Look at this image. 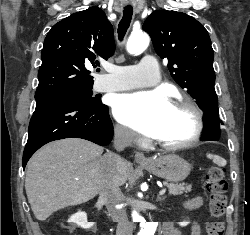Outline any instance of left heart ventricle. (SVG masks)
Segmentation results:
<instances>
[{
    "label": "left heart ventricle",
    "mask_w": 250,
    "mask_h": 235,
    "mask_svg": "<svg viewBox=\"0 0 250 235\" xmlns=\"http://www.w3.org/2000/svg\"><path fill=\"white\" fill-rule=\"evenodd\" d=\"M194 125V118L187 109L170 106L153 138L168 143L184 141L191 136Z\"/></svg>",
    "instance_id": "obj_1"
}]
</instances>
